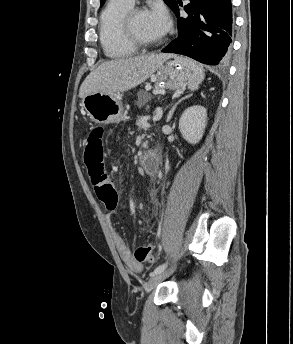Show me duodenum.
I'll use <instances>...</instances> for the list:
<instances>
[{
    "label": "duodenum",
    "instance_id": "duodenum-1",
    "mask_svg": "<svg viewBox=\"0 0 293 344\" xmlns=\"http://www.w3.org/2000/svg\"><path fill=\"white\" fill-rule=\"evenodd\" d=\"M139 165L142 167H147L150 163H153L154 170H158L160 166V160L159 159H153L151 152H144L139 155L138 157Z\"/></svg>",
    "mask_w": 293,
    "mask_h": 344
}]
</instances>
